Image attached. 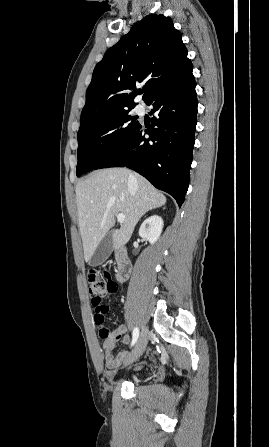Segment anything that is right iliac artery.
Instances as JSON below:
<instances>
[{
	"label": "right iliac artery",
	"mask_w": 269,
	"mask_h": 447,
	"mask_svg": "<svg viewBox=\"0 0 269 447\" xmlns=\"http://www.w3.org/2000/svg\"><path fill=\"white\" fill-rule=\"evenodd\" d=\"M138 337H139V329L136 327L133 330L132 345L136 343Z\"/></svg>",
	"instance_id": "1"
}]
</instances>
